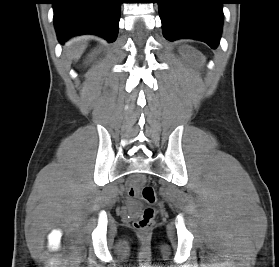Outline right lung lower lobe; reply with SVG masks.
Here are the masks:
<instances>
[{"label": "right lung lower lobe", "mask_w": 279, "mask_h": 267, "mask_svg": "<svg viewBox=\"0 0 279 267\" xmlns=\"http://www.w3.org/2000/svg\"><path fill=\"white\" fill-rule=\"evenodd\" d=\"M54 25L63 44L72 36L96 34L109 42L116 40L120 0H52Z\"/></svg>", "instance_id": "1"}]
</instances>
